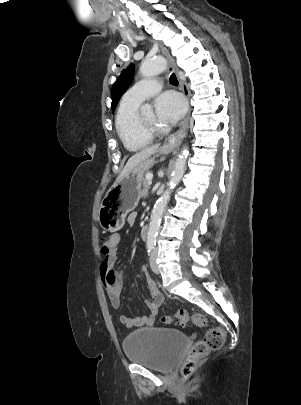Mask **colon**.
<instances>
[{"label": "colon", "instance_id": "colon-1", "mask_svg": "<svg viewBox=\"0 0 301 405\" xmlns=\"http://www.w3.org/2000/svg\"><path fill=\"white\" fill-rule=\"evenodd\" d=\"M105 237L110 239L113 237V232L108 230L105 232ZM105 238V239H106ZM108 239L103 243L102 252L105 254L110 249V243ZM190 316L188 312L184 309L178 310L173 315H166L161 318V321L165 324H170L177 322L181 325H184L188 322ZM192 322L198 327H205L207 324L206 318L199 313L193 314L191 316ZM225 341V332L219 327H213L207 330L204 338L200 341L195 342L190 350L188 351L187 356L182 362L180 371L183 377L187 378L193 374L197 368L198 363L208 355L212 350H217L222 347Z\"/></svg>", "mask_w": 301, "mask_h": 405}]
</instances>
